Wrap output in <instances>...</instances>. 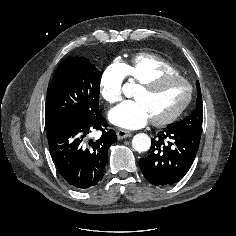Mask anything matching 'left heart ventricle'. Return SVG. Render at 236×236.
Returning <instances> with one entry per match:
<instances>
[{
	"mask_svg": "<svg viewBox=\"0 0 236 236\" xmlns=\"http://www.w3.org/2000/svg\"><path fill=\"white\" fill-rule=\"evenodd\" d=\"M187 96L186 85L179 80H168L154 89L139 88L135 98L146 106L151 119L162 118L175 111Z\"/></svg>",
	"mask_w": 236,
	"mask_h": 236,
	"instance_id": "left-heart-ventricle-1",
	"label": "left heart ventricle"
}]
</instances>
